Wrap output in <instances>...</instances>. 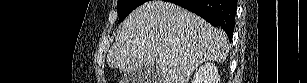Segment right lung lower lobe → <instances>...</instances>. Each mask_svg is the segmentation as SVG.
Listing matches in <instances>:
<instances>
[{
  "mask_svg": "<svg viewBox=\"0 0 307 83\" xmlns=\"http://www.w3.org/2000/svg\"><path fill=\"white\" fill-rule=\"evenodd\" d=\"M170 2L194 12L213 26L221 27L230 40L232 39L236 0H171Z\"/></svg>",
  "mask_w": 307,
  "mask_h": 83,
  "instance_id": "obj_1",
  "label": "right lung lower lobe"
}]
</instances>
